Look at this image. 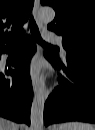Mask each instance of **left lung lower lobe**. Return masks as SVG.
<instances>
[{"instance_id":"0a47b994","label":"left lung lower lobe","mask_w":95,"mask_h":130,"mask_svg":"<svg viewBox=\"0 0 95 130\" xmlns=\"http://www.w3.org/2000/svg\"><path fill=\"white\" fill-rule=\"evenodd\" d=\"M52 65L65 72L60 87L48 97L44 124L66 121L95 123V58L66 55L65 63L44 53Z\"/></svg>"}]
</instances>
